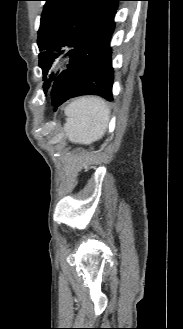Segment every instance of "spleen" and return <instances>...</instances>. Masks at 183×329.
<instances>
[{
	"label": "spleen",
	"instance_id": "1",
	"mask_svg": "<svg viewBox=\"0 0 183 329\" xmlns=\"http://www.w3.org/2000/svg\"><path fill=\"white\" fill-rule=\"evenodd\" d=\"M66 134L73 143L90 145L100 140L108 127L110 110L106 102L95 96L74 99L65 107Z\"/></svg>",
	"mask_w": 183,
	"mask_h": 329
}]
</instances>
